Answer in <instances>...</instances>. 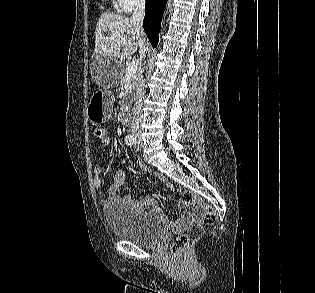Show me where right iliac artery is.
I'll return each mask as SVG.
<instances>
[{"label": "right iliac artery", "instance_id": "1", "mask_svg": "<svg viewBox=\"0 0 315 293\" xmlns=\"http://www.w3.org/2000/svg\"><path fill=\"white\" fill-rule=\"evenodd\" d=\"M125 142L127 145L132 146L135 142V139L132 135L129 134L125 137Z\"/></svg>", "mask_w": 315, "mask_h": 293}]
</instances>
